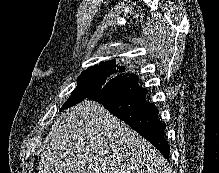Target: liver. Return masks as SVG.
Segmentation results:
<instances>
[{
  "mask_svg": "<svg viewBox=\"0 0 219 173\" xmlns=\"http://www.w3.org/2000/svg\"><path fill=\"white\" fill-rule=\"evenodd\" d=\"M38 173H164L162 155L101 104L64 111L48 135Z\"/></svg>",
  "mask_w": 219,
  "mask_h": 173,
  "instance_id": "liver-1",
  "label": "liver"
}]
</instances>
